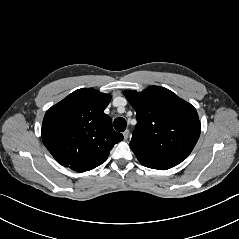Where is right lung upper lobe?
Masks as SVG:
<instances>
[{"label":"right lung upper lobe","mask_w":239,"mask_h":239,"mask_svg":"<svg viewBox=\"0 0 239 239\" xmlns=\"http://www.w3.org/2000/svg\"><path fill=\"white\" fill-rule=\"evenodd\" d=\"M110 94L78 89L49 108L42 123V140L58 163L85 172L104 163L123 139L104 113Z\"/></svg>","instance_id":"cb5924a9"}]
</instances>
